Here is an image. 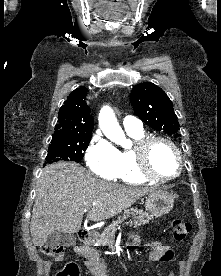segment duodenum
<instances>
[{"instance_id": "obj_1", "label": "duodenum", "mask_w": 221, "mask_h": 276, "mask_svg": "<svg viewBox=\"0 0 221 276\" xmlns=\"http://www.w3.org/2000/svg\"><path fill=\"white\" fill-rule=\"evenodd\" d=\"M78 237H79L80 241L86 247H88L92 243V240H93L91 232L84 228H82L78 231Z\"/></svg>"}]
</instances>
